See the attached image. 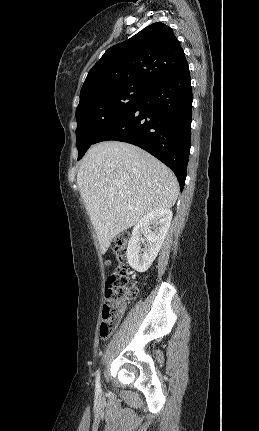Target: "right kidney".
Returning a JSON list of instances; mask_svg holds the SVG:
<instances>
[{
	"instance_id": "ca27d5eb",
	"label": "right kidney",
	"mask_w": 259,
	"mask_h": 431,
	"mask_svg": "<svg viewBox=\"0 0 259 431\" xmlns=\"http://www.w3.org/2000/svg\"><path fill=\"white\" fill-rule=\"evenodd\" d=\"M172 215L170 209H157L145 215L135 225L127 247V260L133 269L142 273L151 266L167 235ZM142 235L145 239H142ZM144 241V248L140 250V242Z\"/></svg>"
}]
</instances>
